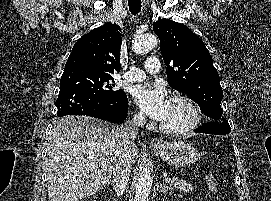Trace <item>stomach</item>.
<instances>
[{"instance_id": "obj_1", "label": "stomach", "mask_w": 271, "mask_h": 201, "mask_svg": "<svg viewBox=\"0 0 271 201\" xmlns=\"http://www.w3.org/2000/svg\"><path fill=\"white\" fill-rule=\"evenodd\" d=\"M153 151L169 165L184 167L195 163L200 153L183 141L164 142L161 146L152 145Z\"/></svg>"}]
</instances>
